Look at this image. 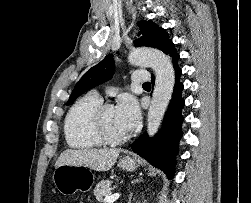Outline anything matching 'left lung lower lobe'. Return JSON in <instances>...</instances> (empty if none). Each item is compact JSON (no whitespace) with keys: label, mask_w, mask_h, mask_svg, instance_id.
Masks as SVG:
<instances>
[{"label":"left lung lower lobe","mask_w":251,"mask_h":203,"mask_svg":"<svg viewBox=\"0 0 251 203\" xmlns=\"http://www.w3.org/2000/svg\"><path fill=\"white\" fill-rule=\"evenodd\" d=\"M164 53L171 57L175 70V85L172 99L163 121L162 131L153 138H149L147 133H144L131 145V149L163 170L171 179L174 176V156L177 154L178 143L182 137V108L185 102L181 94L184 87L183 83L180 82L182 74V70L178 66L180 56L173 42L168 45ZM152 77V84L154 85V76Z\"/></svg>","instance_id":"obj_1"}]
</instances>
